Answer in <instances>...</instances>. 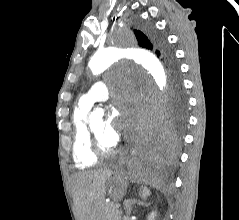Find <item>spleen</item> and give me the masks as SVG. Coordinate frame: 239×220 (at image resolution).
Wrapping results in <instances>:
<instances>
[{"mask_svg": "<svg viewBox=\"0 0 239 220\" xmlns=\"http://www.w3.org/2000/svg\"><path fill=\"white\" fill-rule=\"evenodd\" d=\"M149 195H150V190L147 187H144L142 190V197L146 198Z\"/></svg>", "mask_w": 239, "mask_h": 220, "instance_id": "spleen-1", "label": "spleen"}]
</instances>
